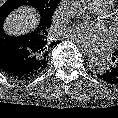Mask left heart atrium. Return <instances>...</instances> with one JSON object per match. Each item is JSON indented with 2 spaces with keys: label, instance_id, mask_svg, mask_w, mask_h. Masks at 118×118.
Masks as SVG:
<instances>
[{
  "label": "left heart atrium",
  "instance_id": "1",
  "mask_svg": "<svg viewBox=\"0 0 118 118\" xmlns=\"http://www.w3.org/2000/svg\"><path fill=\"white\" fill-rule=\"evenodd\" d=\"M65 35L80 47L89 50L108 46L112 42L108 29L100 25L79 24L67 29Z\"/></svg>",
  "mask_w": 118,
  "mask_h": 118
}]
</instances>
